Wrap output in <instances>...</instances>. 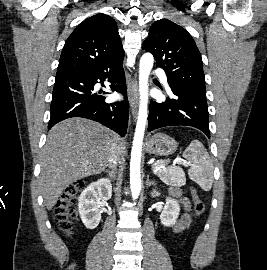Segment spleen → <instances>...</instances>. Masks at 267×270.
<instances>
[{
  "instance_id": "spleen-1",
  "label": "spleen",
  "mask_w": 267,
  "mask_h": 270,
  "mask_svg": "<svg viewBox=\"0 0 267 270\" xmlns=\"http://www.w3.org/2000/svg\"><path fill=\"white\" fill-rule=\"evenodd\" d=\"M183 157L191 166L188 170L190 179L204 191H209L213 183V164L203 144L199 140H193L183 152ZM169 175L173 179V185L185 184V175L180 168L172 167L169 170Z\"/></svg>"
}]
</instances>
